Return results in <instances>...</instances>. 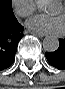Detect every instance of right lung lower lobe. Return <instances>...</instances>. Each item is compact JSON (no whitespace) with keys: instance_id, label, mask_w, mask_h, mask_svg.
Listing matches in <instances>:
<instances>
[{"instance_id":"98d812e1","label":"right lung lower lobe","mask_w":65,"mask_h":89,"mask_svg":"<svg viewBox=\"0 0 65 89\" xmlns=\"http://www.w3.org/2000/svg\"><path fill=\"white\" fill-rule=\"evenodd\" d=\"M23 31V26L15 17L0 16V71L7 69L14 62Z\"/></svg>"}]
</instances>
